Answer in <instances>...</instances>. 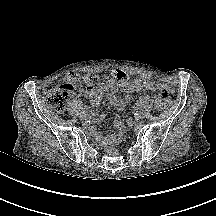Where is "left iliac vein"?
<instances>
[{"label":"left iliac vein","instance_id":"obj_1","mask_svg":"<svg viewBox=\"0 0 216 216\" xmlns=\"http://www.w3.org/2000/svg\"><path fill=\"white\" fill-rule=\"evenodd\" d=\"M139 114H140V115H139L138 117H136V118H137L138 120L144 119V117H145L144 113L140 112Z\"/></svg>","mask_w":216,"mask_h":216}]
</instances>
